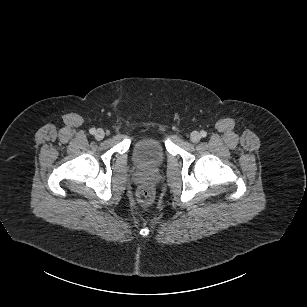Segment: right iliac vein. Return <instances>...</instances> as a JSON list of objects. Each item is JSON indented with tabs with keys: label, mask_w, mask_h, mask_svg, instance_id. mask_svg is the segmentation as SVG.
Listing matches in <instances>:
<instances>
[{
	"label": "right iliac vein",
	"mask_w": 307,
	"mask_h": 307,
	"mask_svg": "<svg viewBox=\"0 0 307 307\" xmlns=\"http://www.w3.org/2000/svg\"><path fill=\"white\" fill-rule=\"evenodd\" d=\"M105 136V133L102 129H98L96 132H95V138L97 140H102Z\"/></svg>",
	"instance_id": "right-iliac-vein-1"
}]
</instances>
